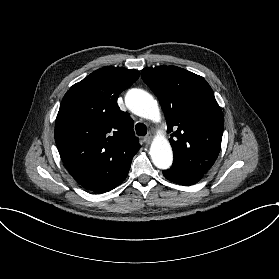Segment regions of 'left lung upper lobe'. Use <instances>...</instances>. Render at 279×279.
Listing matches in <instances>:
<instances>
[{
    "instance_id": "1",
    "label": "left lung upper lobe",
    "mask_w": 279,
    "mask_h": 279,
    "mask_svg": "<svg viewBox=\"0 0 279 279\" xmlns=\"http://www.w3.org/2000/svg\"><path fill=\"white\" fill-rule=\"evenodd\" d=\"M144 82L158 96L172 132L174 167L205 174L220 152L224 118L206 80L175 66L142 70Z\"/></svg>"
}]
</instances>
